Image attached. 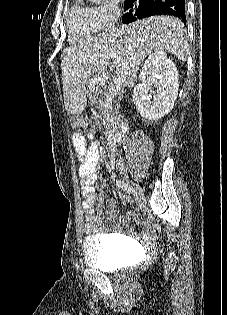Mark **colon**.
I'll return each instance as SVG.
<instances>
[{"instance_id":"colon-1","label":"colon","mask_w":227,"mask_h":315,"mask_svg":"<svg viewBox=\"0 0 227 315\" xmlns=\"http://www.w3.org/2000/svg\"><path fill=\"white\" fill-rule=\"evenodd\" d=\"M71 124L78 134L95 137V130L92 124L82 116H74L71 120Z\"/></svg>"}]
</instances>
